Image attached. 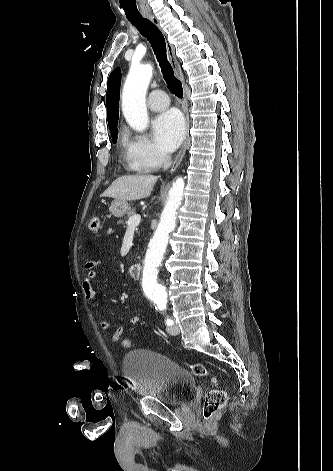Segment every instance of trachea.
<instances>
[{
    "label": "trachea",
    "mask_w": 333,
    "mask_h": 471,
    "mask_svg": "<svg viewBox=\"0 0 333 471\" xmlns=\"http://www.w3.org/2000/svg\"><path fill=\"white\" fill-rule=\"evenodd\" d=\"M138 31L148 39L159 62L163 78L177 97H183L181 82L174 76L173 68L167 60L166 43L163 34L150 20H130Z\"/></svg>",
    "instance_id": "3493384b"
}]
</instances>
